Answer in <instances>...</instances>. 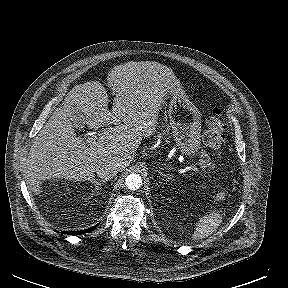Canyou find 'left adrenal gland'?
I'll return each mask as SVG.
<instances>
[{
  "mask_svg": "<svg viewBox=\"0 0 288 288\" xmlns=\"http://www.w3.org/2000/svg\"><path fill=\"white\" fill-rule=\"evenodd\" d=\"M164 179L168 178L171 179L172 175L167 173L165 174L164 172L160 171V169L156 170Z\"/></svg>",
  "mask_w": 288,
  "mask_h": 288,
  "instance_id": "obj_1",
  "label": "left adrenal gland"
}]
</instances>
